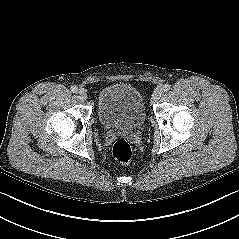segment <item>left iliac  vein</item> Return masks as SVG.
Here are the masks:
<instances>
[{"mask_svg": "<svg viewBox=\"0 0 239 239\" xmlns=\"http://www.w3.org/2000/svg\"><path fill=\"white\" fill-rule=\"evenodd\" d=\"M163 94V90L161 88H157L154 92H153V95H152V101L153 102H156L158 101L161 96Z\"/></svg>", "mask_w": 239, "mask_h": 239, "instance_id": "4c4485c4", "label": "left iliac vein"}]
</instances>
